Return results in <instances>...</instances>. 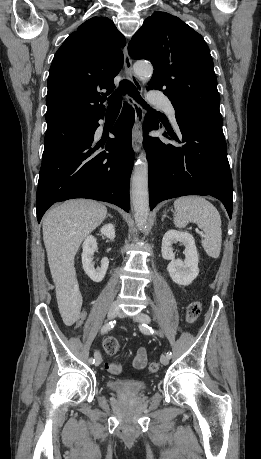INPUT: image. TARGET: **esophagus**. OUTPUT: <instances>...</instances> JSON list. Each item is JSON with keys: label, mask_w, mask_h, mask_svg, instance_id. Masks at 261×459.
<instances>
[{"label": "esophagus", "mask_w": 261, "mask_h": 459, "mask_svg": "<svg viewBox=\"0 0 261 459\" xmlns=\"http://www.w3.org/2000/svg\"><path fill=\"white\" fill-rule=\"evenodd\" d=\"M124 53V68L127 75V78L130 82L134 84L136 89L141 92L142 85L138 78L135 76L132 67V59L129 56L127 45L123 50ZM130 101L133 103L135 112H136V121L133 130L132 146L135 153L140 151L143 139V119H144V110L142 106L137 103L133 98H130Z\"/></svg>", "instance_id": "esophagus-1"}]
</instances>
